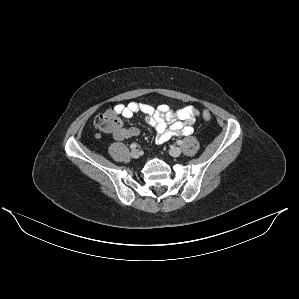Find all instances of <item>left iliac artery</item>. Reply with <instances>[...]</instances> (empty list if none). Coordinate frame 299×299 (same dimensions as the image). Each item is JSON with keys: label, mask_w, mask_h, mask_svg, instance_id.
I'll use <instances>...</instances> for the list:
<instances>
[{"label": "left iliac artery", "mask_w": 299, "mask_h": 299, "mask_svg": "<svg viewBox=\"0 0 299 299\" xmlns=\"http://www.w3.org/2000/svg\"><path fill=\"white\" fill-rule=\"evenodd\" d=\"M182 143H183V142H182L181 140H178V141H177V144H178V145H182Z\"/></svg>", "instance_id": "1"}]
</instances>
